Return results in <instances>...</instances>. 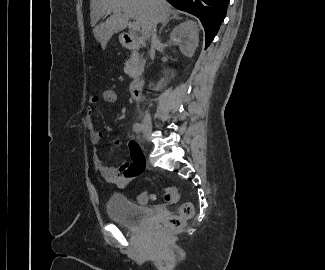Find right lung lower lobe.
<instances>
[{
  "label": "right lung lower lobe",
  "mask_w": 325,
  "mask_h": 270,
  "mask_svg": "<svg viewBox=\"0 0 325 270\" xmlns=\"http://www.w3.org/2000/svg\"><path fill=\"white\" fill-rule=\"evenodd\" d=\"M175 8L198 17L205 30V48L217 34L225 18L229 0H167Z\"/></svg>",
  "instance_id": "right-lung-lower-lobe-1"
}]
</instances>
